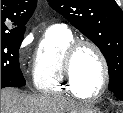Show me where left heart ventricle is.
<instances>
[{"label": "left heart ventricle", "instance_id": "b2bd125f", "mask_svg": "<svg viewBox=\"0 0 123 113\" xmlns=\"http://www.w3.org/2000/svg\"><path fill=\"white\" fill-rule=\"evenodd\" d=\"M75 83L81 93H95L103 81V67L94 50L84 47L73 64Z\"/></svg>", "mask_w": 123, "mask_h": 113}]
</instances>
